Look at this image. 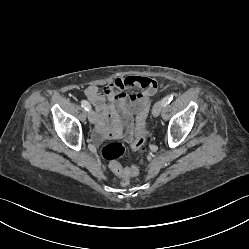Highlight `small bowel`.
<instances>
[{
    "label": "small bowel",
    "mask_w": 249,
    "mask_h": 249,
    "mask_svg": "<svg viewBox=\"0 0 249 249\" xmlns=\"http://www.w3.org/2000/svg\"><path fill=\"white\" fill-rule=\"evenodd\" d=\"M154 82L147 77L126 76L116 78L106 85L102 92L94 85L85 88L84 94L96 110L99 139L117 137L121 134L128 139L132 138L131 112L149 107L150 97L157 89L156 87L151 90ZM132 87H138L142 91L135 94L124 92L125 89Z\"/></svg>",
    "instance_id": "obj_1"
}]
</instances>
